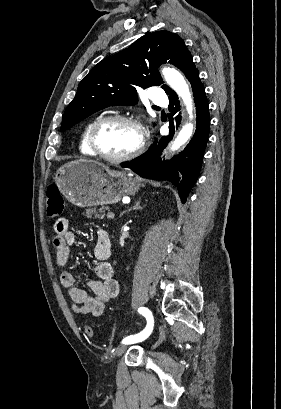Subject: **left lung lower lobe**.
Instances as JSON below:
<instances>
[{"instance_id":"0a47b994","label":"left lung lower lobe","mask_w":281,"mask_h":409,"mask_svg":"<svg viewBox=\"0 0 281 409\" xmlns=\"http://www.w3.org/2000/svg\"><path fill=\"white\" fill-rule=\"evenodd\" d=\"M189 81L192 85L197 114L196 131L189 144L178 156L169 161L161 160L159 157L162 150L172 139L175 127L179 126L181 120L178 97L173 94L169 96L168 108L171 112L170 115H175V118H171L169 136H163L156 140L145 154L122 165V167L131 169L141 177L172 182L178 188L182 203L186 202L191 187L198 178L209 137L210 125L209 105L197 69L193 71Z\"/></svg>"}]
</instances>
